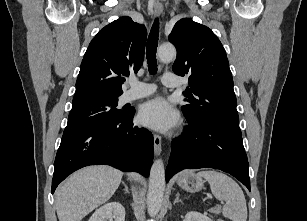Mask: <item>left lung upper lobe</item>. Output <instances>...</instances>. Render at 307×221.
Returning <instances> with one entry per match:
<instances>
[{
    "mask_svg": "<svg viewBox=\"0 0 307 221\" xmlns=\"http://www.w3.org/2000/svg\"><path fill=\"white\" fill-rule=\"evenodd\" d=\"M168 39L177 49L174 73L189 75L187 104L182 106L188 122H212L241 134L229 62L216 35L208 27L183 18Z\"/></svg>",
    "mask_w": 307,
    "mask_h": 221,
    "instance_id": "obj_1",
    "label": "left lung upper lobe"
}]
</instances>
